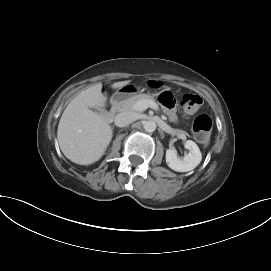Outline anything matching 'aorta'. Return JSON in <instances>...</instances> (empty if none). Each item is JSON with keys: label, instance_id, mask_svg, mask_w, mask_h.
Returning <instances> with one entry per match:
<instances>
[{"label": "aorta", "instance_id": "1", "mask_svg": "<svg viewBox=\"0 0 271 271\" xmlns=\"http://www.w3.org/2000/svg\"><path fill=\"white\" fill-rule=\"evenodd\" d=\"M156 123L153 120H148L143 123V128L147 132H153L156 130Z\"/></svg>", "mask_w": 271, "mask_h": 271}]
</instances>
